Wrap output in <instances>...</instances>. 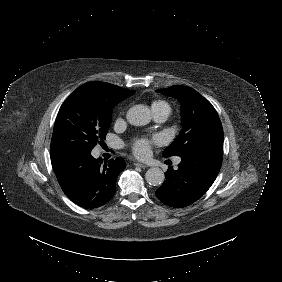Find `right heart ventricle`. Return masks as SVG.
I'll use <instances>...</instances> for the list:
<instances>
[{
  "mask_svg": "<svg viewBox=\"0 0 282 282\" xmlns=\"http://www.w3.org/2000/svg\"><path fill=\"white\" fill-rule=\"evenodd\" d=\"M166 106L169 107V105L165 101H162V100L154 101L152 103V111L155 112V111L161 110L162 108Z\"/></svg>",
  "mask_w": 282,
  "mask_h": 282,
  "instance_id": "1",
  "label": "right heart ventricle"
}]
</instances>
